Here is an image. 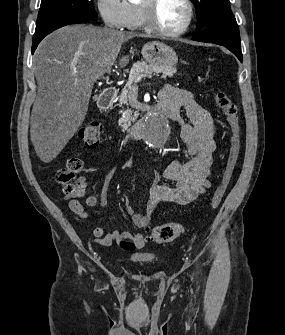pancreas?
<instances>
[{"label": "pancreas", "mask_w": 285, "mask_h": 335, "mask_svg": "<svg viewBox=\"0 0 285 335\" xmlns=\"http://www.w3.org/2000/svg\"><path fill=\"white\" fill-rule=\"evenodd\" d=\"M158 70L161 72L158 75L159 81H164L165 78L168 76H173V74L177 72V68H169V66H157V64H143V62H141V64H134L133 68H131V71L128 73L127 79L130 82H136V78H139L143 72L152 74V72H158ZM130 82L126 83L124 91L133 90L134 85ZM122 102L125 104V106H128L127 94L122 96ZM133 110H136V107H133ZM121 112L124 114L125 118H118L116 120L118 125H132L133 122H135L139 117V114L136 111L132 112V110H125V112H123V110H121ZM118 117H121V114H118Z\"/></svg>", "instance_id": "cf45deb5"}]
</instances>
